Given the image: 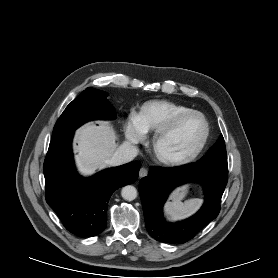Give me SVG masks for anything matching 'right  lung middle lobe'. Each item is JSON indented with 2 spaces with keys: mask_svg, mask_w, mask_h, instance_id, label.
<instances>
[{
  "mask_svg": "<svg viewBox=\"0 0 278 278\" xmlns=\"http://www.w3.org/2000/svg\"><path fill=\"white\" fill-rule=\"evenodd\" d=\"M103 91L88 87L77 96L57 120L52 139L73 132L82 124L94 119L115 118V111Z\"/></svg>",
  "mask_w": 278,
  "mask_h": 278,
  "instance_id": "right-lung-middle-lobe-1",
  "label": "right lung middle lobe"
}]
</instances>
